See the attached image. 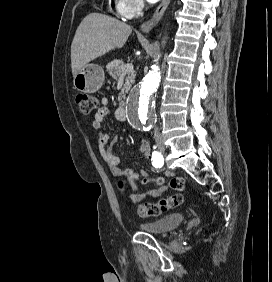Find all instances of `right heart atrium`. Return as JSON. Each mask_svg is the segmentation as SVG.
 <instances>
[{
	"instance_id": "1",
	"label": "right heart atrium",
	"mask_w": 272,
	"mask_h": 282,
	"mask_svg": "<svg viewBox=\"0 0 272 282\" xmlns=\"http://www.w3.org/2000/svg\"><path fill=\"white\" fill-rule=\"evenodd\" d=\"M143 0H117L116 12L123 19H133L144 10Z\"/></svg>"
}]
</instances>
